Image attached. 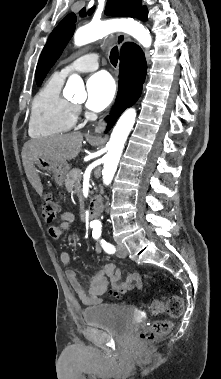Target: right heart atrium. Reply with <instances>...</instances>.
Returning a JSON list of instances; mask_svg holds the SVG:
<instances>
[{"label":"right heart atrium","instance_id":"d8ad5b80","mask_svg":"<svg viewBox=\"0 0 221 379\" xmlns=\"http://www.w3.org/2000/svg\"><path fill=\"white\" fill-rule=\"evenodd\" d=\"M75 110H76V112H79L80 108L79 107H75Z\"/></svg>","mask_w":221,"mask_h":379}]
</instances>
